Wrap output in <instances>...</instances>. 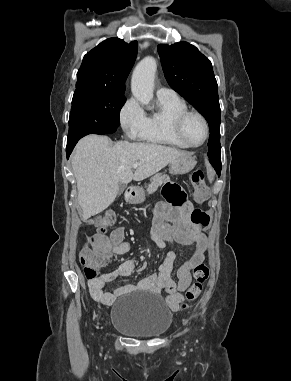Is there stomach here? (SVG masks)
<instances>
[{
    "mask_svg": "<svg viewBox=\"0 0 291 381\" xmlns=\"http://www.w3.org/2000/svg\"><path fill=\"white\" fill-rule=\"evenodd\" d=\"M196 164V161L189 154L182 155L176 158L174 161L170 163V173L171 174H186L191 171ZM145 199L144 192L138 190L135 195L131 198V202L134 204H138L143 202Z\"/></svg>",
    "mask_w": 291,
    "mask_h": 381,
    "instance_id": "0dacf381",
    "label": "stomach"
}]
</instances>
